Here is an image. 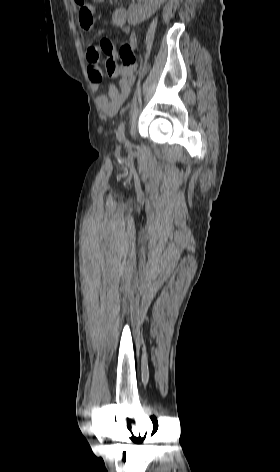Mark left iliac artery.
<instances>
[{
	"label": "left iliac artery",
	"instance_id": "44dca946",
	"mask_svg": "<svg viewBox=\"0 0 280 472\" xmlns=\"http://www.w3.org/2000/svg\"><path fill=\"white\" fill-rule=\"evenodd\" d=\"M116 137L119 141L125 140V121H122L117 129Z\"/></svg>",
	"mask_w": 280,
	"mask_h": 472
}]
</instances>
